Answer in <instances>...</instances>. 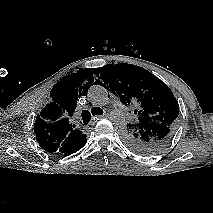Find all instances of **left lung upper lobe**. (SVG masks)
Segmentation results:
<instances>
[{
    "label": "left lung upper lobe",
    "instance_id": "5c2ea615",
    "mask_svg": "<svg viewBox=\"0 0 213 213\" xmlns=\"http://www.w3.org/2000/svg\"><path fill=\"white\" fill-rule=\"evenodd\" d=\"M107 90L135 107V118L122 130L131 149L142 154L163 150L178 124L179 105L170 88L154 74L133 64H108L96 69ZM100 75V76H99Z\"/></svg>",
    "mask_w": 213,
    "mask_h": 213
}]
</instances>
